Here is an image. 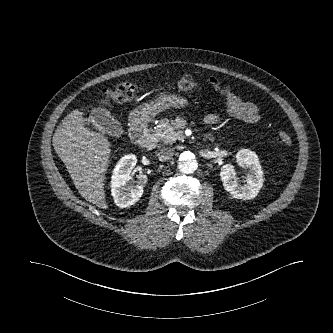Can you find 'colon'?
<instances>
[{
    "label": "colon",
    "mask_w": 333,
    "mask_h": 333,
    "mask_svg": "<svg viewBox=\"0 0 333 333\" xmlns=\"http://www.w3.org/2000/svg\"><path fill=\"white\" fill-rule=\"evenodd\" d=\"M198 86V83L191 76H183L175 83L170 84L169 88L177 89L180 91H191ZM137 85L132 82H123L113 89L104 90L106 98L114 102H124L132 99L137 92ZM86 120V115L80 111H74L71 113L69 118L64 119L59 125V131L67 129L70 125L77 122H84ZM279 142L286 146H292L291 136L284 131L278 133Z\"/></svg>",
    "instance_id": "colon-1"
}]
</instances>
